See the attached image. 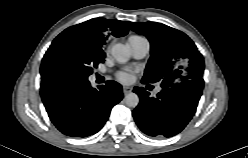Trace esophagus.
<instances>
[{"label":"esophagus","instance_id":"34e87169","mask_svg":"<svg viewBox=\"0 0 248 158\" xmlns=\"http://www.w3.org/2000/svg\"><path fill=\"white\" fill-rule=\"evenodd\" d=\"M132 91L131 87L123 86V93L126 95Z\"/></svg>","mask_w":248,"mask_h":158}]
</instances>
